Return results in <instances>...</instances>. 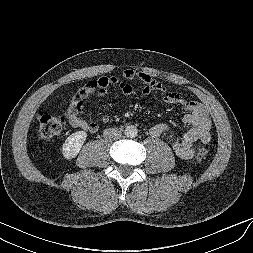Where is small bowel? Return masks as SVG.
<instances>
[{
    "mask_svg": "<svg viewBox=\"0 0 253 253\" xmlns=\"http://www.w3.org/2000/svg\"><path fill=\"white\" fill-rule=\"evenodd\" d=\"M133 79H141L145 86L137 91L130 83ZM114 86H118L126 96H136L146 98L153 92H159L162 99L168 104L182 105L186 111L183 122L190 126V129L182 138H178L166 123H158L150 127L149 133L153 137H159L163 133L169 134V140L174 153L181 159H192L195 155L193 144L200 142L208 144L211 141L212 121L207 114V110L199 102L187 101L184 97L174 90L169 89L162 81L153 77L147 71L134 68L124 69L119 77H101L85 83L75 93L70 106L66 109V116L69 124L82 131L96 133L98 124L83 120L79 113L84 110V102L87 96L95 91L105 95ZM109 118L104 116L102 122H108Z\"/></svg>",
    "mask_w": 253,
    "mask_h": 253,
    "instance_id": "1",
    "label": "small bowel"
}]
</instances>
